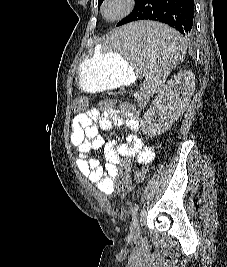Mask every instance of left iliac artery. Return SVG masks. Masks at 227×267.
Wrapping results in <instances>:
<instances>
[{
    "label": "left iliac artery",
    "mask_w": 227,
    "mask_h": 267,
    "mask_svg": "<svg viewBox=\"0 0 227 267\" xmlns=\"http://www.w3.org/2000/svg\"><path fill=\"white\" fill-rule=\"evenodd\" d=\"M138 204H135L134 207L132 208L131 212H132V219L136 216L137 211H138Z\"/></svg>",
    "instance_id": "obj_1"
}]
</instances>
